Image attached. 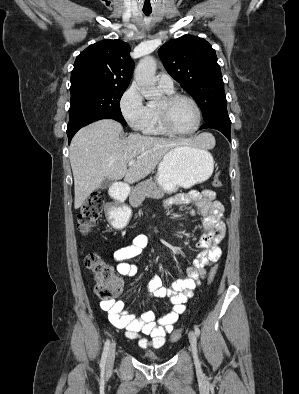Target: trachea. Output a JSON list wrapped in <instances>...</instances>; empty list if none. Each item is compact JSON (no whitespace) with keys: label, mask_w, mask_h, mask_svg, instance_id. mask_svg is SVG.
<instances>
[{"label":"trachea","mask_w":299,"mask_h":394,"mask_svg":"<svg viewBox=\"0 0 299 394\" xmlns=\"http://www.w3.org/2000/svg\"><path fill=\"white\" fill-rule=\"evenodd\" d=\"M151 12H152V11H144V10H143V13H144L145 16H149V15L151 14Z\"/></svg>","instance_id":"1"}]
</instances>
